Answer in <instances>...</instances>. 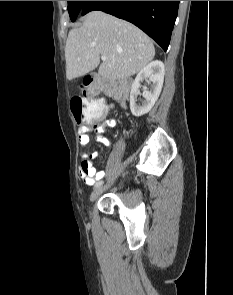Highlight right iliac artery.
I'll use <instances>...</instances> for the list:
<instances>
[{
    "label": "right iliac artery",
    "mask_w": 233,
    "mask_h": 295,
    "mask_svg": "<svg viewBox=\"0 0 233 295\" xmlns=\"http://www.w3.org/2000/svg\"><path fill=\"white\" fill-rule=\"evenodd\" d=\"M101 178H102V177H97V180H99V179H101ZM96 185H97V183H96ZM96 185H95V186H96Z\"/></svg>",
    "instance_id": "82829eb1"
}]
</instances>
